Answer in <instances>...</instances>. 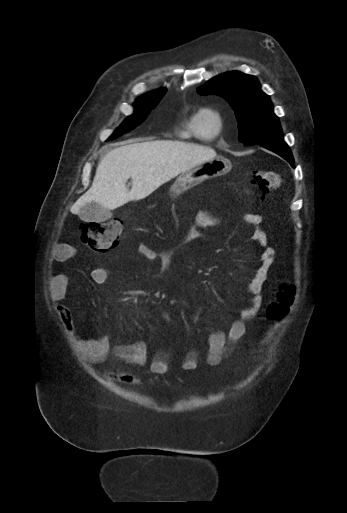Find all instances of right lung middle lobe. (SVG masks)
Returning a JSON list of instances; mask_svg holds the SVG:
<instances>
[{
	"mask_svg": "<svg viewBox=\"0 0 347 513\" xmlns=\"http://www.w3.org/2000/svg\"><path fill=\"white\" fill-rule=\"evenodd\" d=\"M165 92L166 89H160L147 93L137 99L135 103V114L127 118L108 140H113L141 124L150 111L156 107Z\"/></svg>",
	"mask_w": 347,
	"mask_h": 513,
	"instance_id": "1",
	"label": "right lung middle lobe"
}]
</instances>
